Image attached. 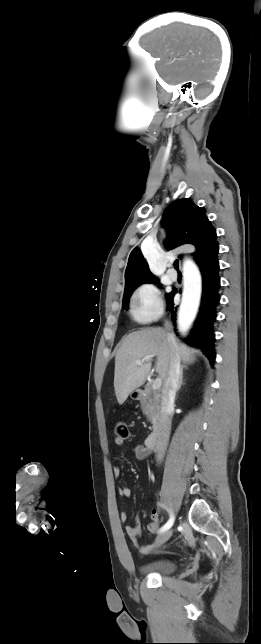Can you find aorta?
<instances>
[{
    "mask_svg": "<svg viewBox=\"0 0 261 644\" xmlns=\"http://www.w3.org/2000/svg\"><path fill=\"white\" fill-rule=\"evenodd\" d=\"M184 288L178 312V324L182 332L190 327L196 315L200 298V276L195 264L186 260L183 264Z\"/></svg>",
    "mask_w": 261,
    "mask_h": 644,
    "instance_id": "obj_1",
    "label": "aorta"
}]
</instances>
